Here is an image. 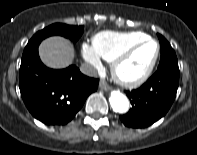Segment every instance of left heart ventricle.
Instances as JSON below:
<instances>
[{"label": "left heart ventricle", "mask_w": 197, "mask_h": 155, "mask_svg": "<svg viewBox=\"0 0 197 155\" xmlns=\"http://www.w3.org/2000/svg\"><path fill=\"white\" fill-rule=\"evenodd\" d=\"M155 49L156 46L154 43H146L142 45L126 62L123 63L120 68L121 74L128 78H134L142 74L150 64Z\"/></svg>", "instance_id": "left-heart-ventricle-1"}]
</instances>
